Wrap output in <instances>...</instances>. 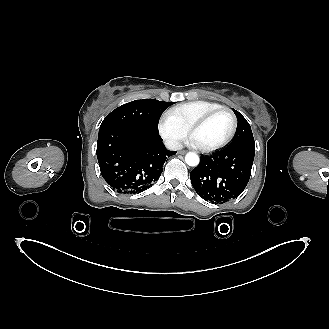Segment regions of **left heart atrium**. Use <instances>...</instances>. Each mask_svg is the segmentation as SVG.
<instances>
[{"label": "left heart atrium", "instance_id": "left-heart-atrium-1", "mask_svg": "<svg viewBox=\"0 0 329 329\" xmlns=\"http://www.w3.org/2000/svg\"><path fill=\"white\" fill-rule=\"evenodd\" d=\"M191 143H192V144H195V142H194V140H193V139L191 140Z\"/></svg>", "mask_w": 329, "mask_h": 329}]
</instances>
